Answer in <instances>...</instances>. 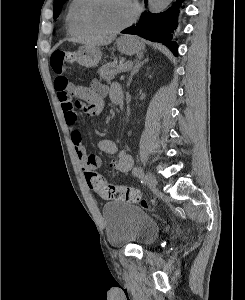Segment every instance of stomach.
I'll list each match as a JSON object with an SVG mask.
<instances>
[{"instance_id":"1","label":"stomach","mask_w":245,"mask_h":300,"mask_svg":"<svg viewBox=\"0 0 245 300\" xmlns=\"http://www.w3.org/2000/svg\"><path fill=\"white\" fill-rule=\"evenodd\" d=\"M117 48L121 53L133 55L144 49V42L135 36H121L117 41ZM102 53L98 47H81L77 51V62L84 67H95L98 65Z\"/></svg>"}]
</instances>
